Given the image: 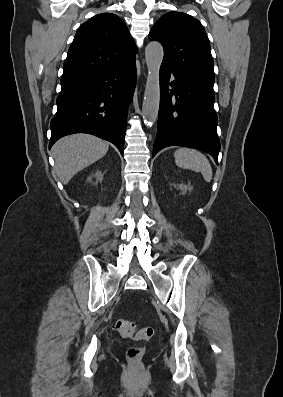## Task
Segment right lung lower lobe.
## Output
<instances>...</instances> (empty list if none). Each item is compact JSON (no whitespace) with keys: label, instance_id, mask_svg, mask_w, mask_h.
<instances>
[{"label":"right lung lower lobe","instance_id":"98d812e1","mask_svg":"<svg viewBox=\"0 0 283 397\" xmlns=\"http://www.w3.org/2000/svg\"><path fill=\"white\" fill-rule=\"evenodd\" d=\"M136 85L135 60L61 82L49 148L61 137L89 133L110 141L123 155L127 105Z\"/></svg>","mask_w":283,"mask_h":397}]
</instances>
